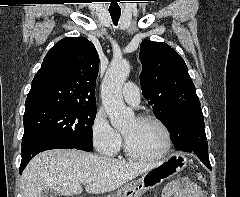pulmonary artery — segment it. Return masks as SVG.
I'll list each match as a JSON object with an SVG mask.
<instances>
[{
  "mask_svg": "<svg viewBox=\"0 0 240 197\" xmlns=\"http://www.w3.org/2000/svg\"><path fill=\"white\" fill-rule=\"evenodd\" d=\"M123 99L133 105H137L140 101V91L136 84L127 82L122 90Z\"/></svg>",
  "mask_w": 240,
  "mask_h": 197,
  "instance_id": "e3ab8cb5",
  "label": "pulmonary artery"
}]
</instances>
